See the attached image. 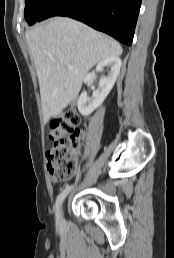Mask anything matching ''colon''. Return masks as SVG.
<instances>
[{
    "mask_svg": "<svg viewBox=\"0 0 174 258\" xmlns=\"http://www.w3.org/2000/svg\"><path fill=\"white\" fill-rule=\"evenodd\" d=\"M78 125L79 117L73 111L50 123L49 138L53 145L47 152V160L52 175L57 179H68L76 172V153L81 138Z\"/></svg>",
    "mask_w": 174,
    "mask_h": 258,
    "instance_id": "5ec220e1",
    "label": "colon"
}]
</instances>
